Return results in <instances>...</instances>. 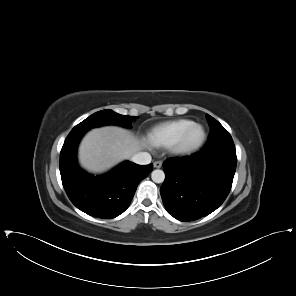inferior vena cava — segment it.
I'll return each mask as SVG.
<instances>
[{
  "label": "inferior vena cava",
  "mask_w": 296,
  "mask_h": 296,
  "mask_svg": "<svg viewBox=\"0 0 296 296\" xmlns=\"http://www.w3.org/2000/svg\"><path fill=\"white\" fill-rule=\"evenodd\" d=\"M151 160H152L151 155L148 152H138L135 155H133L131 158L132 162L140 165L149 164Z\"/></svg>",
  "instance_id": "1"
}]
</instances>
